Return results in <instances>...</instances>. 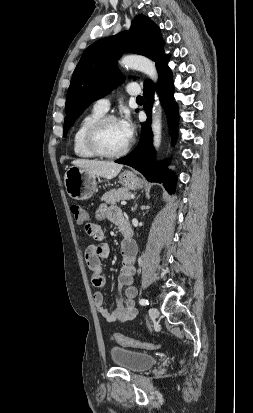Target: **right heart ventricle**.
<instances>
[{"label":"right heart ventricle","mask_w":253,"mask_h":413,"mask_svg":"<svg viewBox=\"0 0 253 413\" xmlns=\"http://www.w3.org/2000/svg\"><path fill=\"white\" fill-rule=\"evenodd\" d=\"M103 115V112H100L93 108L90 112L85 114L77 123L72 135V146L76 156L87 159L94 158L96 156L87 148L84 136L88 126L97 118Z\"/></svg>","instance_id":"right-heart-ventricle-1"}]
</instances>
